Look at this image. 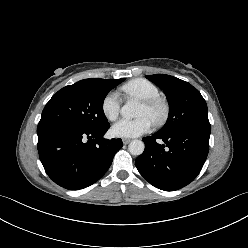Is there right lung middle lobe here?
I'll return each instance as SVG.
<instances>
[{
  "mask_svg": "<svg viewBox=\"0 0 248 248\" xmlns=\"http://www.w3.org/2000/svg\"><path fill=\"white\" fill-rule=\"evenodd\" d=\"M124 80H81L62 88L46 104L39 123L67 122L84 129L109 126L103 102L108 92Z\"/></svg>",
  "mask_w": 248,
  "mask_h": 248,
  "instance_id": "1",
  "label": "right lung middle lobe"
}]
</instances>
